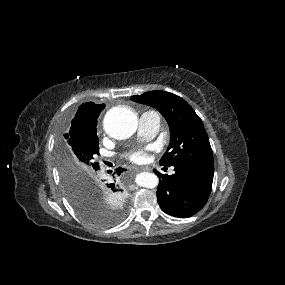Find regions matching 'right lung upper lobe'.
Returning a JSON list of instances; mask_svg holds the SVG:
<instances>
[{"instance_id":"obj_1","label":"right lung upper lobe","mask_w":285,"mask_h":285,"mask_svg":"<svg viewBox=\"0 0 285 285\" xmlns=\"http://www.w3.org/2000/svg\"><path fill=\"white\" fill-rule=\"evenodd\" d=\"M104 107L103 104L98 105L93 102L80 105L75 117L71 121L70 129L64 135L66 142L97 136V118Z\"/></svg>"}]
</instances>
